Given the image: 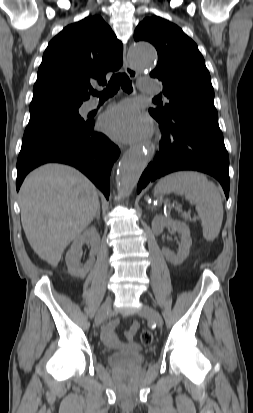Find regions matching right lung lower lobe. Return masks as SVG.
Listing matches in <instances>:
<instances>
[{"mask_svg": "<svg viewBox=\"0 0 253 413\" xmlns=\"http://www.w3.org/2000/svg\"><path fill=\"white\" fill-rule=\"evenodd\" d=\"M93 128L94 121H87L80 129L22 143L17 160V191L31 170L44 163L59 162L79 169L108 199L111 168L120 150Z\"/></svg>", "mask_w": 253, "mask_h": 413, "instance_id": "right-lung-lower-lobe-1", "label": "right lung lower lobe"}]
</instances>
